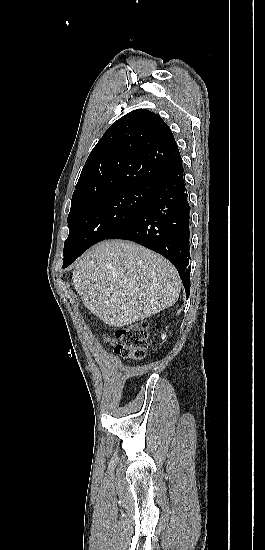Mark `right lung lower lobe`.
<instances>
[{
    "mask_svg": "<svg viewBox=\"0 0 265 550\" xmlns=\"http://www.w3.org/2000/svg\"><path fill=\"white\" fill-rule=\"evenodd\" d=\"M189 209L179 161L160 178L141 214L107 238L134 241L166 257L177 268L187 297L190 294Z\"/></svg>",
    "mask_w": 265,
    "mask_h": 550,
    "instance_id": "obj_1",
    "label": "right lung lower lobe"
}]
</instances>
